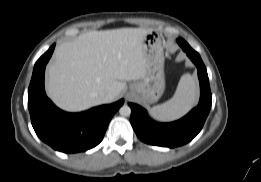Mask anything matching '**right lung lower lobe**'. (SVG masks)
<instances>
[{
	"label": "right lung lower lobe",
	"mask_w": 261,
	"mask_h": 182,
	"mask_svg": "<svg viewBox=\"0 0 261 182\" xmlns=\"http://www.w3.org/2000/svg\"><path fill=\"white\" fill-rule=\"evenodd\" d=\"M55 45L36 62L28 89V107L38 137L53 149L64 153L86 151L98 145L113 115L123 105L119 100L81 113L58 109L46 96L44 73Z\"/></svg>",
	"instance_id": "obj_1"
}]
</instances>
